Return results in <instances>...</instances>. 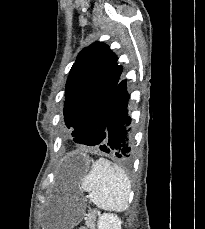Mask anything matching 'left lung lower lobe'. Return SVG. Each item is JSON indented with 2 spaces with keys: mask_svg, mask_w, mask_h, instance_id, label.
<instances>
[{
  "mask_svg": "<svg viewBox=\"0 0 205 229\" xmlns=\"http://www.w3.org/2000/svg\"><path fill=\"white\" fill-rule=\"evenodd\" d=\"M126 80H119L107 105L103 125L93 129L90 134L92 143L100 144V150L111 153L123 161L132 157V127L128 116L129 101Z\"/></svg>",
  "mask_w": 205,
  "mask_h": 229,
  "instance_id": "left-lung-lower-lobe-1",
  "label": "left lung lower lobe"
}]
</instances>
